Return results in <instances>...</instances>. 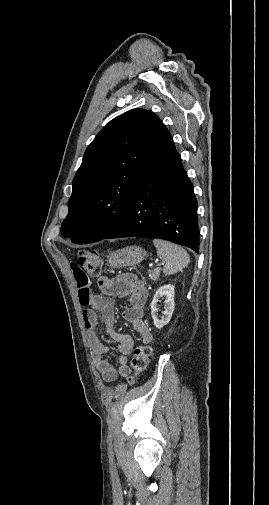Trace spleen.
I'll list each match as a JSON object with an SVG mask.
<instances>
[{
    "instance_id": "3e777b00",
    "label": "spleen",
    "mask_w": 269,
    "mask_h": 505,
    "mask_svg": "<svg viewBox=\"0 0 269 505\" xmlns=\"http://www.w3.org/2000/svg\"><path fill=\"white\" fill-rule=\"evenodd\" d=\"M158 257L165 262L164 273L172 275L188 266L190 257L187 251L181 246L165 241L163 239H153Z\"/></svg>"
}]
</instances>
